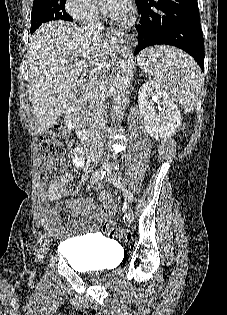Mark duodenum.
Masks as SVG:
<instances>
[{"label":"duodenum","instance_id":"1","mask_svg":"<svg viewBox=\"0 0 227 315\" xmlns=\"http://www.w3.org/2000/svg\"><path fill=\"white\" fill-rule=\"evenodd\" d=\"M65 122L66 124L71 127V128H75L76 126V113L75 110L72 109L71 111H69L66 115H65ZM79 137L82 143L86 144V145H90L91 142V134L89 131L87 130H81L79 132Z\"/></svg>","mask_w":227,"mask_h":315}]
</instances>
